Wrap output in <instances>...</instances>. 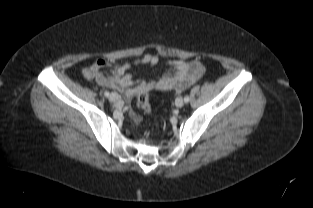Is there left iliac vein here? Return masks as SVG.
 <instances>
[{"label": "left iliac vein", "instance_id": "4c4485c4", "mask_svg": "<svg viewBox=\"0 0 313 208\" xmlns=\"http://www.w3.org/2000/svg\"><path fill=\"white\" fill-rule=\"evenodd\" d=\"M175 105L178 107V108H181L184 106V100L182 97H178L176 100H175Z\"/></svg>", "mask_w": 313, "mask_h": 208}]
</instances>
